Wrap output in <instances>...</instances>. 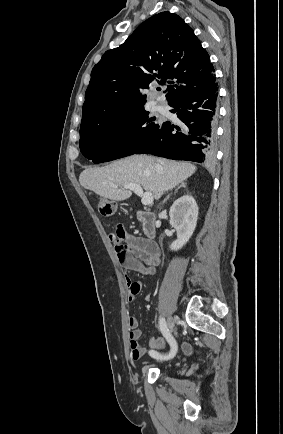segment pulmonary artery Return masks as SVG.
Masks as SVG:
<instances>
[{
    "label": "pulmonary artery",
    "instance_id": "1",
    "mask_svg": "<svg viewBox=\"0 0 283 434\" xmlns=\"http://www.w3.org/2000/svg\"><path fill=\"white\" fill-rule=\"evenodd\" d=\"M155 109H156L158 112H164V111H165V107H164L162 104H160V103H157V104L155 105Z\"/></svg>",
    "mask_w": 283,
    "mask_h": 434
}]
</instances>
